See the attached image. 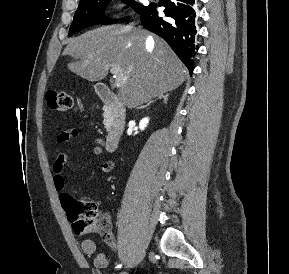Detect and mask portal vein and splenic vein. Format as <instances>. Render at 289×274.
I'll return each mask as SVG.
<instances>
[{"instance_id": "18ae733b", "label": "portal vein and splenic vein", "mask_w": 289, "mask_h": 274, "mask_svg": "<svg viewBox=\"0 0 289 274\" xmlns=\"http://www.w3.org/2000/svg\"><path fill=\"white\" fill-rule=\"evenodd\" d=\"M110 72L115 77V85L116 87H121L126 82L127 77L122 73V69L119 66H113L110 69Z\"/></svg>"}]
</instances>
